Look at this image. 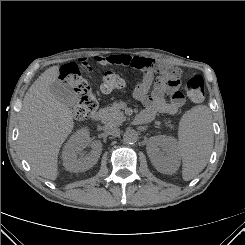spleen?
<instances>
[{
	"label": "spleen",
	"mask_w": 245,
	"mask_h": 245,
	"mask_svg": "<svg viewBox=\"0 0 245 245\" xmlns=\"http://www.w3.org/2000/svg\"><path fill=\"white\" fill-rule=\"evenodd\" d=\"M211 121V111L206 105L191 108L180 120L178 146L185 181L193 179L207 165L213 146Z\"/></svg>",
	"instance_id": "3e777b00"
}]
</instances>
